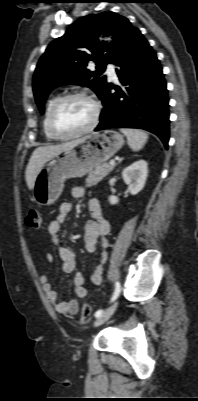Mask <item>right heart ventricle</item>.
<instances>
[{
	"label": "right heart ventricle",
	"instance_id": "obj_1",
	"mask_svg": "<svg viewBox=\"0 0 198 401\" xmlns=\"http://www.w3.org/2000/svg\"><path fill=\"white\" fill-rule=\"evenodd\" d=\"M56 99H57L56 96H52V97L48 100V102H47V104H46V107H45L44 118H43V121H42L43 132H44L45 137H46L48 140H53L54 138L50 135V133L48 132V129H47V114H48V111H49L51 105L53 104V102H54Z\"/></svg>",
	"mask_w": 198,
	"mask_h": 401
}]
</instances>
